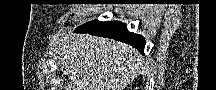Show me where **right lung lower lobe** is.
<instances>
[{
	"label": "right lung lower lobe",
	"mask_w": 216,
	"mask_h": 90,
	"mask_svg": "<svg viewBox=\"0 0 216 90\" xmlns=\"http://www.w3.org/2000/svg\"><path fill=\"white\" fill-rule=\"evenodd\" d=\"M75 32L89 33L91 35L112 38L121 42H125L127 44H131L141 53H143L145 47V39L141 35L129 32L126 28V24L118 21L101 22L94 20L79 26Z\"/></svg>",
	"instance_id": "right-lung-lower-lobe-1"
}]
</instances>
